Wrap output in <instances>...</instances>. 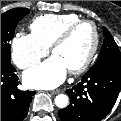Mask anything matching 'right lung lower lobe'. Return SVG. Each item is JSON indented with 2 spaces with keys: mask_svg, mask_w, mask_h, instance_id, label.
<instances>
[{
  "mask_svg": "<svg viewBox=\"0 0 121 121\" xmlns=\"http://www.w3.org/2000/svg\"><path fill=\"white\" fill-rule=\"evenodd\" d=\"M11 64L1 63V121H21L35 92L17 88L18 76Z\"/></svg>",
  "mask_w": 121,
  "mask_h": 121,
  "instance_id": "1",
  "label": "right lung lower lobe"
}]
</instances>
